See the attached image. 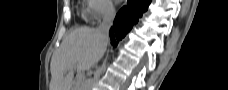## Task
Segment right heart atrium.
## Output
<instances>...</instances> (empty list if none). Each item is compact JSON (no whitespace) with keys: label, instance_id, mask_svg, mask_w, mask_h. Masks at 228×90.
I'll return each instance as SVG.
<instances>
[{"label":"right heart atrium","instance_id":"1","mask_svg":"<svg viewBox=\"0 0 228 90\" xmlns=\"http://www.w3.org/2000/svg\"><path fill=\"white\" fill-rule=\"evenodd\" d=\"M89 7V17L93 21L107 18L114 14L115 8L110 0H87Z\"/></svg>","mask_w":228,"mask_h":90}]
</instances>
